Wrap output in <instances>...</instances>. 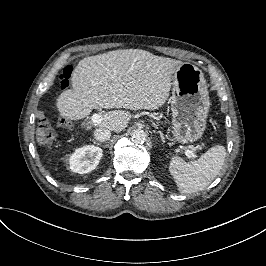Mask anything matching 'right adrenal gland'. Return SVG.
I'll list each match as a JSON object with an SVG mask.
<instances>
[{
    "label": "right adrenal gland",
    "instance_id": "right-adrenal-gland-1",
    "mask_svg": "<svg viewBox=\"0 0 266 266\" xmlns=\"http://www.w3.org/2000/svg\"><path fill=\"white\" fill-rule=\"evenodd\" d=\"M92 142L94 143V144H96V145H101V143H99V142H96V140H94V139H92Z\"/></svg>",
    "mask_w": 266,
    "mask_h": 266
}]
</instances>
